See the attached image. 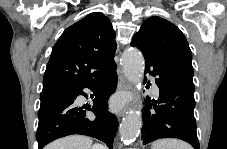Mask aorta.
<instances>
[{"instance_id":"762f6f07","label":"aorta","mask_w":227,"mask_h":149,"mask_svg":"<svg viewBox=\"0 0 227 149\" xmlns=\"http://www.w3.org/2000/svg\"><path fill=\"white\" fill-rule=\"evenodd\" d=\"M122 66L125 77L132 84L139 86L142 81L145 62L141 52L128 49L123 53ZM141 113L138 108L129 109L120 126V135L125 143L133 142L139 135Z\"/></svg>"}]
</instances>
